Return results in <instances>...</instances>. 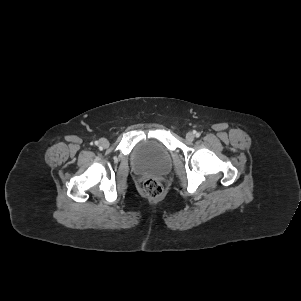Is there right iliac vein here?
Segmentation results:
<instances>
[{
	"mask_svg": "<svg viewBox=\"0 0 301 301\" xmlns=\"http://www.w3.org/2000/svg\"><path fill=\"white\" fill-rule=\"evenodd\" d=\"M99 146H100L101 148H107V147L109 146L108 140L105 139V138H101V139L99 140Z\"/></svg>",
	"mask_w": 301,
	"mask_h": 301,
	"instance_id": "63e3f726",
	"label": "right iliac vein"
}]
</instances>
